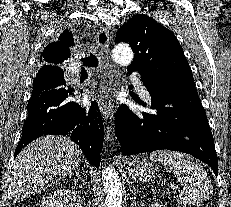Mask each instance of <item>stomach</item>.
<instances>
[{
	"instance_id": "1",
	"label": "stomach",
	"mask_w": 231,
	"mask_h": 207,
	"mask_svg": "<svg viewBox=\"0 0 231 207\" xmlns=\"http://www.w3.org/2000/svg\"><path fill=\"white\" fill-rule=\"evenodd\" d=\"M155 165L148 158H133L127 163L130 178L147 182L155 175Z\"/></svg>"
}]
</instances>
